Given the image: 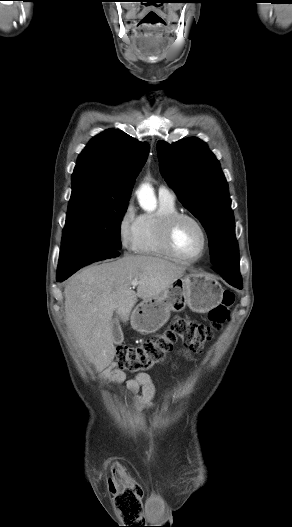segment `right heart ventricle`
Instances as JSON below:
<instances>
[{
    "instance_id": "obj_1",
    "label": "right heart ventricle",
    "mask_w": 292,
    "mask_h": 527,
    "mask_svg": "<svg viewBox=\"0 0 292 527\" xmlns=\"http://www.w3.org/2000/svg\"><path fill=\"white\" fill-rule=\"evenodd\" d=\"M175 212H178V207L174 198L159 196V206L156 211L139 215L134 252L172 258L162 245L161 227L164 219Z\"/></svg>"
}]
</instances>
